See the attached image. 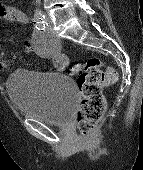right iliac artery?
<instances>
[{
  "label": "right iliac artery",
  "instance_id": "obj_1",
  "mask_svg": "<svg viewBox=\"0 0 143 170\" xmlns=\"http://www.w3.org/2000/svg\"><path fill=\"white\" fill-rule=\"evenodd\" d=\"M34 22H35V27L38 30H44L46 28V26L48 25L46 20H45L44 15H41V16H38L37 18H35Z\"/></svg>",
  "mask_w": 143,
  "mask_h": 170
}]
</instances>
